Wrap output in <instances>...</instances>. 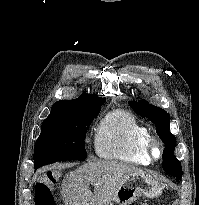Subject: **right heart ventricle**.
<instances>
[{"instance_id": "e07e8e85", "label": "right heart ventricle", "mask_w": 199, "mask_h": 205, "mask_svg": "<svg viewBox=\"0 0 199 205\" xmlns=\"http://www.w3.org/2000/svg\"><path fill=\"white\" fill-rule=\"evenodd\" d=\"M148 136L147 128L132 114L115 110L108 113L97 128L95 152L106 160L148 165L150 160L144 152V142Z\"/></svg>"}]
</instances>
